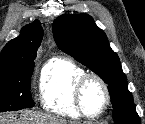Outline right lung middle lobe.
<instances>
[{"label": "right lung middle lobe", "instance_id": "obj_1", "mask_svg": "<svg viewBox=\"0 0 145 124\" xmlns=\"http://www.w3.org/2000/svg\"><path fill=\"white\" fill-rule=\"evenodd\" d=\"M34 63L26 66L0 71V112L31 108V76Z\"/></svg>", "mask_w": 145, "mask_h": 124}]
</instances>
